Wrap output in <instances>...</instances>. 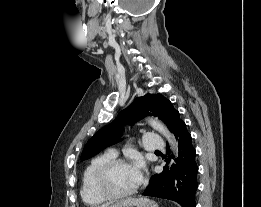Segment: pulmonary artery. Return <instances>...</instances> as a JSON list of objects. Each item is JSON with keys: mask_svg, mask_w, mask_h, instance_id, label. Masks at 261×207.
Returning a JSON list of instances; mask_svg holds the SVG:
<instances>
[{"mask_svg": "<svg viewBox=\"0 0 261 207\" xmlns=\"http://www.w3.org/2000/svg\"><path fill=\"white\" fill-rule=\"evenodd\" d=\"M144 147L148 151H159L165 148V142L163 139L155 133H147L144 136ZM109 153L113 156L117 155L116 150H109Z\"/></svg>", "mask_w": 261, "mask_h": 207, "instance_id": "1", "label": "pulmonary artery"}]
</instances>
